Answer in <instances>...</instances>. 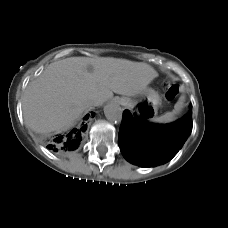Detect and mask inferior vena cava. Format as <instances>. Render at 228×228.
Here are the masks:
<instances>
[{"label": "inferior vena cava", "mask_w": 228, "mask_h": 228, "mask_svg": "<svg viewBox=\"0 0 228 228\" xmlns=\"http://www.w3.org/2000/svg\"><path fill=\"white\" fill-rule=\"evenodd\" d=\"M92 105H93V103H92V101H90V100H87V101L84 103V106H85L86 108L91 107Z\"/></svg>", "instance_id": "obj_1"}]
</instances>
